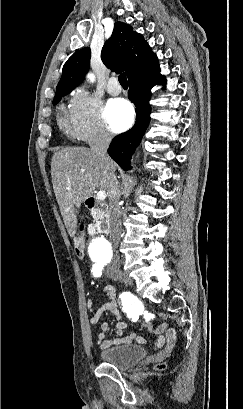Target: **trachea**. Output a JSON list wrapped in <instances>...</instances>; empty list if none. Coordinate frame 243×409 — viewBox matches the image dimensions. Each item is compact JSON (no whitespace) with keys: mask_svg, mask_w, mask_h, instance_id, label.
I'll list each match as a JSON object with an SVG mask.
<instances>
[{"mask_svg":"<svg viewBox=\"0 0 243 409\" xmlns=\"http://www.w3.org/2000/svg\"><path fill=\"white\" fill-rule=\"evenodd\" d=\"M118 80H119V83H120L122 86H128L127 78H126V74H125V73H121V74L119 75V77H118Z\"/></svg>","mask_w":243,"mask_h":409,"instance_id":"1","label":"trachea"}]
</instances>
